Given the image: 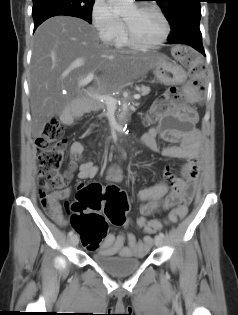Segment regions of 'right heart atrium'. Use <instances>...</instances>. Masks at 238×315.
<instances>
[{
  "instance_id": "1",
  "label": "right heart atrium",
  "mask_w": 238,
  "mask_h": 315,
  "mask_svg": "<svg viewBox=\"0 0 238 315\" xmlns=\"http://www.w3.org/2000/svg\"><path fill=\"white\" fill-rule=\"evenodd\" d=\"M90 19L98 36L104 42H112L123 27V22L112 11L106 0H94Z\"/></svg>"
}]
</instances>
